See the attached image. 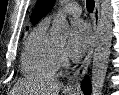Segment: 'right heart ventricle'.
<instances>
[{
  "mask_svg": "<svg viewBox=\"0 0 119 95\" xmlns=\"http://www.w3.org/2000/svg\"><path fill=\"white\" fill-rule=\"evenodd\" d=\"M49 19L31 31L21 58V71L30 78H50L57 70L58 44L48 33Z\"/></svg>",
  "mask_w": 119,
  "mask_h": 95,
  "instance_id": "1",
  "label": "right heart ventricle"
}]
</instances>
